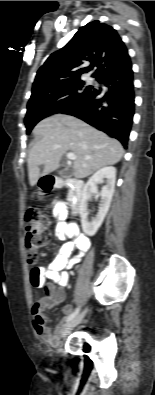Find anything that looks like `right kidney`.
Returning <instances> with one entry per match:
<instances>
[{"label": "right kidney", "instance_id": "right-kidney-1", "mask_svg": "<svg viewBox=\"0 0 155 395\" xmlns=\"http://www.w3.org/2000/svg\"><path fill=\"white\" fill-rule=\"evenodd\" d=\"M106 179V185L100 192L101 204L97 215L89 220L88 201L92 194H98L97 184ZM116 180V169L112 166L104 167L98 170L85 184L82 193V199L79 206L82 228L88 236H94L103 223V220L109 210L112 197L114 194Z\"/></svg>", "mask_w": 155, "mask_h": 395}]
</instances>
